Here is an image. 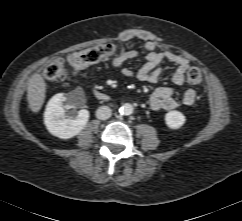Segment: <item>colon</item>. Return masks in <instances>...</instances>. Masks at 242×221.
Instances as JSON below:
<instances>
[{
  "label": "colon",
  "mask_w": 242,
  "mask_h": 221,
  "mask_svg": "<svg viewBox=\"0 0 242 221\" xmlns=\"http://www.w3.org/2000/svg\"><path fill=\"white\" fill-rule=\"evenodd\" d=\"M118 51L117 45L113 43H104L93 48L73 52L68 55L67 63L74 73H77L86 67L105 61L113 57ZM68 75L64 59L57 58L51 61L43 70V77L48 82L64 80ZM187 81L191 85H199L203 81V72L198 66H190L187 69Z\"/></svg>",
  "instance_id": "5ec220e1"
}]
</instances>
